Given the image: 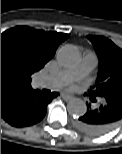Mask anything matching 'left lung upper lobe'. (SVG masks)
I'll list each match as a JSON object with an SVG mask.
<instances>
[{"label":"left lung upper lobe","instance_id":"obj_1","mask_svg":"<svg viewBox=\"0 0 122 154\" xmlns=\"http://www.w3.org/2000/svg\"><path fill=\"white\" fill-rule=\"evenodd\" d=\"M87 38L99 58V75L88 95L102 100L114 90L122 89V50L106 37L88 35Z\"/></svg>","mask_w":122,"mask_h":154}]
</instances>
